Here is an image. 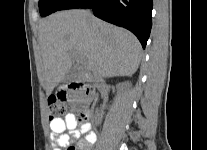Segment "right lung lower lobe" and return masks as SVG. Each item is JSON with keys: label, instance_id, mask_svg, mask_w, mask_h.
<instances>
[{"label": "right lung lower lobe", "instance_id": "1", "mask_svg": "<svg viewBox=\"0 0 207 150\" xmlns=\"http://www.w3.org/2000/svg\"><path fill=\"white\" fill-rule=\"evenodd\" d=\"M152 0H66L59 8H91L94 15L133 32L145 48L152 27Z\"/></svg>", "mask_w": 207, "mask_h": 150}]
</instances>
